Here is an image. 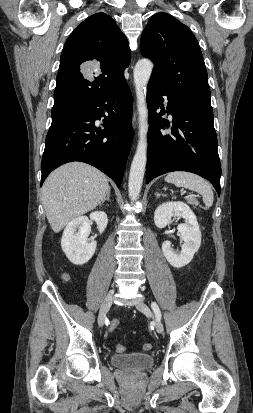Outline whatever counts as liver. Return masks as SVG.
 Wrapping results in <instances>:
<instances>
[{"mask_svg": "<svg viewBox=\"0 0 253 413\" xmlns=\"http://www.w3.org/2000/svg\"><path fill=\"white\" fill-rule=\"evenodd\" d=\"M110 191L105 174L82 162L54 170L42 187V202L55 233L75 218L96 208Z\"/></svg>", "mask_w": 253, "mask_h": 413, "instance_id": "liver-1", "label": "liver"}]
</instances>
